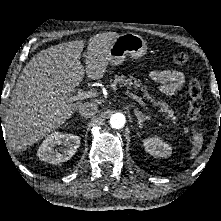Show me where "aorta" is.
<instances>
[{"mask_svg": "<svg viewBox=\"0 0 221 221\" xmlns=\"http://www.w3.org/2000/svg\"><path fill=\"white\" fill-rule=\"evenodd\" d=\"M126 122L125 116L122 113H115L110 117V126L114 129H121Z\"/></svg>", "mask_w": 221, "mask_h": 221, "instance_id": "1", "label": "aorta"}]
</instances>
